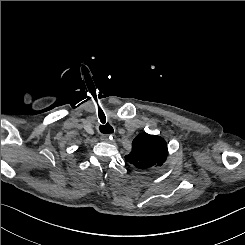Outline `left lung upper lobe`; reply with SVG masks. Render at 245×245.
Returning a JSON list of instances; mask_svg holds the SVG:
<instances>
[{
	"mask_svg": "<svg viewBox=\"0 0 245 245\" xmlns=\"http://www.w3.org/2000/svg\"><path fill=\"white\" fill-rule=\"evenodd\" d=\"M167 156V144L163 138L141 133L134 138L132 151L125 160L138 169L146 170L162 166Z\"/></svg>",
	"mask_w": 245,
	"mask_h": 245,
	"instance_id": "obj_1",
	"label": "left lung upper lobe"
}]
</instances>
